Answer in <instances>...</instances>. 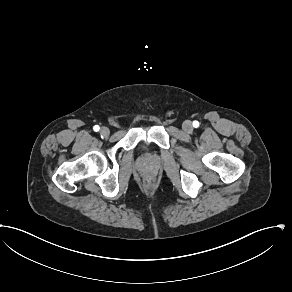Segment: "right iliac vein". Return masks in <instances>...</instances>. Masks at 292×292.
<instances>
[{"instance_id":"1","label":"right iliac vein","mask_w":292,"mask_h":292,"mask_svg":"<svg viewBox=\"0 0 292 292\" xmlns=\"http://www.w3.org/2000/svg\"><path fill=\"white\" fill-rule=\"evenodd\" d=\"M100 134L103 137H107L110 134L109 128L108 127H105V126L104 127H101Z\"/></svg>"}]
</instances>
